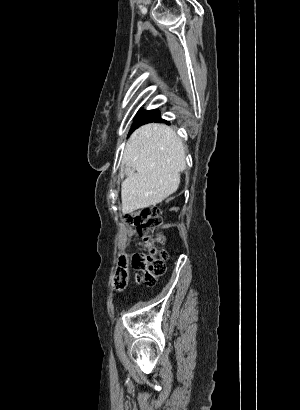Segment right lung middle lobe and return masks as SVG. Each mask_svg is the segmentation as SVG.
Wrapping results in <instances>:
<instances>
[{
  "instance_id": "dd1d6c3e",
  "label": "right lung middle lobe",
  "mask_w": 300,
  "mask_h": 410,
  "mask_svg": "<svg viewBox=\"0 0 300 410\" xmlns=\"http://www.w3.org/2000/svg\"><path fill=\"white\" fill-rule=\"evenodd\" d=\"M159 114V112L157 110H150V111H144V112H139V114L136 116V119L132 125L131 131L132 132L134 129H136L138 126L141 125L142 122H144L145 120H147L148 118Z\"/></svg>"
}]
</instances>
